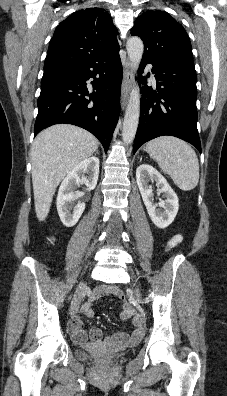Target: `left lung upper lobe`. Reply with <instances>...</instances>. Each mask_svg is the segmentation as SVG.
<instances>
[{
	"instance_id": "1",
	"label": "left lung upper lobe",
	"mask_w": 227,
	"mask_h": 396,
	"mask_svg": "<svg viewBox=\"0 0 227 396\" xmlns=\"http://www.w3.org/2000/svg\"><path fill=\"white\" fill-rule=\"evenodd\" d=\"M131 35L143 40V56L195 69L190 39L182 25L168 13L144 12L136 19Z\"/></svg>"
}]
</instances>
